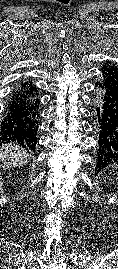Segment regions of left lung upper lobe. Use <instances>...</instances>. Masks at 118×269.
<instances>
[{"mask_svg": "<svg viewBox=\"0 0 118 269\" xmlns=\"http://www.w3.org/2000/svg\"><path fill=\"white\" fill-rule=\"evenodd\" d=\"M102 73L101 85L111 91L118 92V67L108 61V64L103 66Z\"/></svg>", "mask_w": 118, "mask_h": 269, "instance_id": "5c2ea615", "label": "left lung upper lobe"}]
</instances>
